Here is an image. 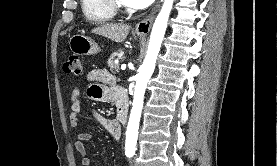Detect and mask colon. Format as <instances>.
<instances>
[{"mask_svg": "<svg viewBox=\"0 0 277 166\" xmlns=\"http://www.w3.org/2000/svg\"><path fill=\"white\" fill-rule=\"evenodd\" d=\"M63 69L66 73L81 74L83 70L81 57L78 54L70 55L64 63Z\"/></svg>", "mask_w": 277, "mask_h": 166, "instance_id": "obj_1", "label": "colon"}]
</instances>
